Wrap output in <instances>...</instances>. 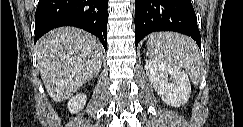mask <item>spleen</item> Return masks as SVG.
<instances>
[{
	"mask_svg": "<svg viewBox=\"0 0 243 127\" xmlns=\"http://www.w3.org/2000/svg\"><path fill=\"white\" fill-rule=\"evenodd\" d=\"M147 50V54L157 62L183 67L192 82L199 83L201 58L191 38L171 32L156 33L150 36Z\"/></svg>",
	"mask_w": 243,
	"mask_h": 127,
	"instance_id": "obj_1",
	"label": "spleen"
}]
</instances>
